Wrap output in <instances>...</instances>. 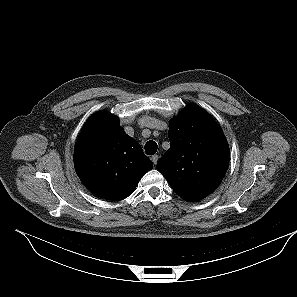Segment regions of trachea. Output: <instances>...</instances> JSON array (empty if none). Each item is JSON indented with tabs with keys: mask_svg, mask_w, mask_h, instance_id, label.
I'll list each match as a JSON object with an SVG mask.
<instances>
[{
	"mask_svg": "<svg viewBox=\"0 0 297 297\" xmlns=\"http://www.w3.org/2000/svg\"><path fill=\"white\" fill-rule=\"evenodd\" d=\"M157 143L155 141H148L145 144V152L147 155H154L157 152Z\"/></svg>",
	"mask_w": 297,
	"mask_h": 297,
	"instance_id": "obj_1",
	"label": "trachea"
}]
</instances>
